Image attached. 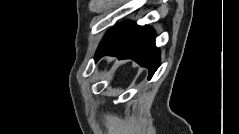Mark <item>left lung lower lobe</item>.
<instances>
[{
    "mask_svg": "<svg viewBox=\"0 0 239 134\" xmlns=\"http://www.w3.org/2000/svg\"><path fill=\"white\" fill-rule=\"evenodd\" d=\"M104 55L119 59H133L149 69V78L160 65L159 49L155 46V34L150 27H141L128 21L108 31L100 43L95 60Z\"/></svg>",
    "mask_w": 239,
    "mask_h": 134,
    "instance_id": "1",
    "label": "left lung lower lobe"
}]
</instances>
